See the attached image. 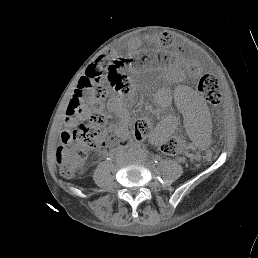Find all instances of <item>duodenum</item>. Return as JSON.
<instances>
[{"mask_svg":"<svg viewBox=\"0 0 258 258\" xmlns=\"http://www.w3.org/2000/svg\"><path fill=\"white\" fill-rule=\"evenodd\" d=\"M123 150V148H120V149H118L117 151H116V153H119V152H121Z\"/></svg>","mask_w":258,"mask_h":258,"instance_id":"410a0bca","label":"duodenum"}]
</instances>
